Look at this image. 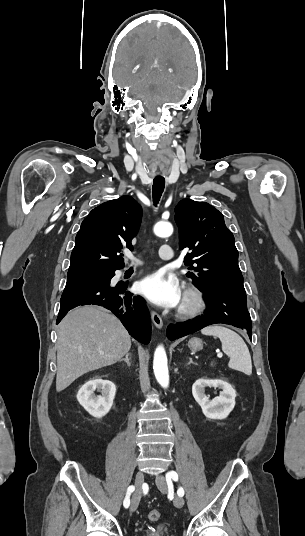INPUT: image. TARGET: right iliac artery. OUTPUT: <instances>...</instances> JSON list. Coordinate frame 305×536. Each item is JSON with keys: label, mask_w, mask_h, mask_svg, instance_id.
I'll list each match as a JSON object with an SVG mask.
<instances>
[{"label": "right iliac artery", "mask_w": 305, "mask_h": 536, "mask_svg": "<svg viewBox=\"0 0 305 536\" xmlns=\"http://www.w3.org/2000/svg\"><path fill=\"white\" fill-rule=\"evenodd\" d=\"M135 490V487L133 485L129 486L128 489H127V494H126V497L124 499V507L125 508H128L129 505H130V494Z\"/></svg>", "instance_id": "1"}]
</instances>
